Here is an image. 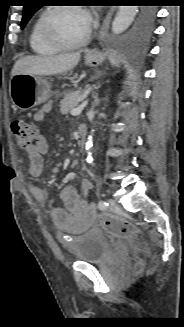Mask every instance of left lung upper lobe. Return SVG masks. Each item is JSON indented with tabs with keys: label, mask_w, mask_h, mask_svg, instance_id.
<instances>
[{
	"label": "left lung upper lobe",
	"mask_w": 184,
	"mask_h": 327,
	"mask_svg": "<svg viewBox=\"0 0 184 327\" xmlns=\"http://www.w3.org/2000/svg\"><path fill=\"white\" fill-rule=\"evenodd\" d=\"M40 0H26L23 9V19L21 21V28L23 29L32 15L40 8Z\"/></svg>",
	"instance_id": "left-lung-upper-lobe-1"
}]
</instances>
